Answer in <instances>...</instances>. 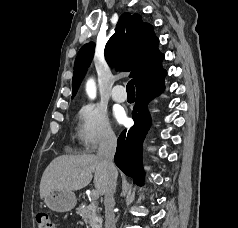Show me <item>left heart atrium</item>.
Listing matches in <instances>:
<instances>
[{"mask_svg":"<svg viewBox=\"0 0 238 228\" xmlns=\"http://www.w3.org/2000/svg\"><path fill=\"white\" fill-rule=\"evenodd\" d=\"M116 119L119 123H125L126 122V117L123 113H117L116 114Z\"/></svg>","mask_w":238,"mask_h":228,"instance_id":"1","label":"left heart atrium"}]
</instances>
